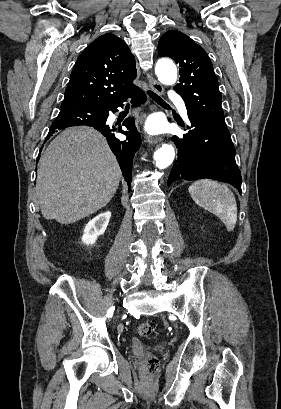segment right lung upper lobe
<instances>
[{
  "label": "right lung upper lobe",
  "instance_id": "obj_1",
  "mask_svg": "<svg viewBox=\"0 0 281 409\" xmlns=\"http://www.w3.org/2000/svg\"><path fill=\"white\" fill-rule=\"evenodd\" d=\"M136 74L135 58L126 43L113 34H104L77 59L61 107L123 100L139 89L133 84Z\"/></svg>",
  "mask_w": 281,
  "mask_h": 409
}]
</instances>
